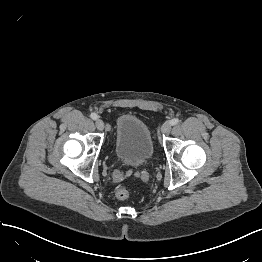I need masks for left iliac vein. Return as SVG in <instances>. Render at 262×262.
Returning <instances> with one entry per match:
<instances>
[{
  "mask_svg": "<svg viewBox=\"0 0 262 262\" xmlns=\"http://www.w3.org/2000/svg\"><path fill=\"white\" fill-rule=\"evenodd\" d=\"M171 131V124L170 123H165L162 128H161V133L162 134H168Z\"/></svg>",
  "mask_w": 262,
  "mask_h": 262,
  "instance_id": "4c4485c4",
  "label": "left iliac vein"
}]
</instances>
